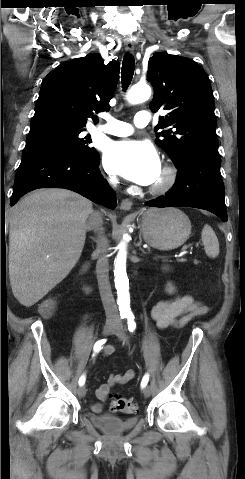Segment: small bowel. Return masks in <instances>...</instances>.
<instances>
[{"mask_svg": "<svg viewBox=\"0 0 245 479\" xmlns=\"http://www.w3.org/2000/svg\"><path fill=\"white\" fill-rule=\"evenodd\" d=\"M207 307L196 301L190 295H181L171 300H161L152 308V318L158 327L165 329L173 326H182L192 318L204 314ZM115 351L114 347L107 346L103 349V356H109ZM136 376L133 369H129L122 374H112L109 376L107 383L102 384L96 390V397L99 402L91 404V410L94 413H101L104 408V402L107 400L109 390L112 386L122 385Z\"/></svg>", "mask_w": 245, "mask_h": 479, "instance_id": "1", "label": "small bowel"}]
</instances>
